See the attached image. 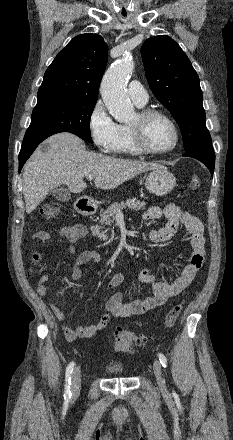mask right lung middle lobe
Masks as SVG:
<instances>
[{"mask_svg":"<svg viewBox=\"0 0 233 440\" xmlns=\"http://www.w3.org/2000/svg\"><path fill=\"white\" fill-rule=\"evenodd\" d=\"M97 100L52 98L37 103L29 131L70 132L93 143L90 117Z\"/></svg>","mask_w":233,"mask_h":440,"instance_id":"dd1d6c3e","label":"right lung middle lobe"}]
</instances>
